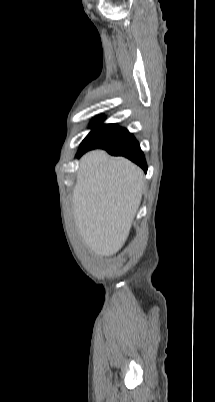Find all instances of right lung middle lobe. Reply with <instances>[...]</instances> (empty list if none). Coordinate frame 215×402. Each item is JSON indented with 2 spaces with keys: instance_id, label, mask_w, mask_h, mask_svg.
Segmentation results:
<instances>
[{
  "instance_id": "dd1d6c3e",
  "label": "right lung middle lobe",
  "mask_w": 215,
  "mask_h": 402,
  "mask_svg": "<svg viewBox=\"0 0 215 402\" xmlns=\"http://www.w3.org/2000/svg\"><path fill=\"white\" fill-rule=\"evenodd\" d=\"M104 119L102 116L92 122L90 125L92 130L81 145H110L119 141L128 132L116 124H102Z\"/></svg>"
}]
</instances>
